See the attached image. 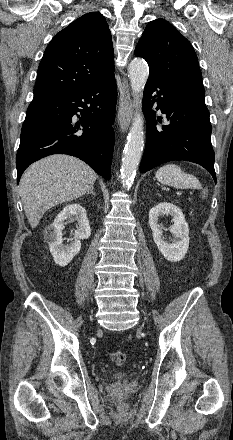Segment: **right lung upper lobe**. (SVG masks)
<instances>
[{
  "label": "right lung upper lobe",
  "mask_w": 233,
  "mask_h": 440,
  "mask_svg": "<svg viewBox=\"0 0 233 440\" xmlns=\"http://www.w3.org/2000/svg\"><path fill=\"white\" fill-rule=\"evenodd\" d=\"M114 74V51L107 22L87 13L60 31L38 67L34 97L81 89Z\"/></svg>",
  "instance_id": "obj_1"
}]
</instances>
